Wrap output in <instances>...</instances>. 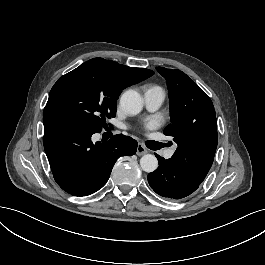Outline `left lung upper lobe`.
Returning a JSON list of instances; mask_svg holds the SVG:
<instances>
[{
  "instance_id": "left-lung-upper-lobe-1",
  "label": "left lung upper lobe",
  "mask_w": 265,
  "mask_h": 265,
  "mask_svg": "<svg viewBox=\"0 0 265 265\" xmlns=\"http://www.w3.org/2000/svg\"><path fill=\"white\" fill-rule=\"evenodd\" d=\"M166 79L171 123L164 134L172 136L177 149L172 159L205 179L218 143L217 119L208 95L180 70L157 67Z\"/></svg>"
}]
</instances>
